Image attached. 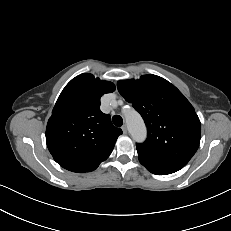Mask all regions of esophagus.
I'll return each instance as SVG.
<instances>
[{
  "mask_svg": "<svg viewBox=\"0 0 231 231\" xmlns=\"http://www.w3.org/2000/svg\"><path fill=\"white\" fill-rule=\"evenodd\" d=\"M122 131H123V134H127V127H126V125L122 126Z\"/></svg>",
  "mask_w": 231,
  "mask_h": 231,
  "instance_id": "1",
  "label": "esophagus"
}]
</instances>
